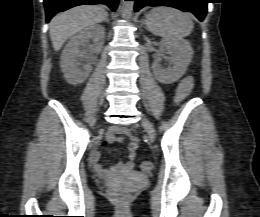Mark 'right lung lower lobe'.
Segmentation results:
<instances>
[{"instance_id":"1","label":"right lung lower lobe","mask_w":260,"mask_h":217,"mask_svg":"<svg viewBox=\"0 0 260 217\" xmlns=\"http://www.w3.org/2000/svg\"><path fill=\"white\" fill-rule=\"evenodd\" d=\"M118 2L119 0H44L46 21L49 22L50 19L58 12L84 4H105L110 7L112 11H115Z\"/></svg>"}]
</instances>
